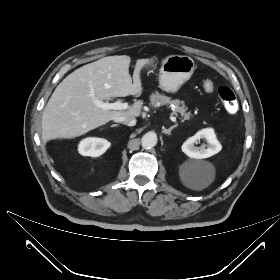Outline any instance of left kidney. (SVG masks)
Segmentation results:
<instances>
[{"label": "left kidney", "mask_w": 280, "mask_h": 280, "mask_svg": "<svg viewBox=\"0 0 280 280\" xmlns=\"http://www.w3.org/2000/svg\"><path fill=\"white\" fill-rule=\"evenodd\" d=\"M200 139L206 140L208 143L207 147L206 145H203L201 148H198L194 145ZM181 148L182 151L190 158L205 159L220 152L222 146L217 140L214 130L212 128H205L187 139ZM184 180L191 187L204 186L207 184L206 181L199 184L198 181L193 177H185Z\"/></svg>", "instance_id": "left-kidney-1"}]
</instances>
